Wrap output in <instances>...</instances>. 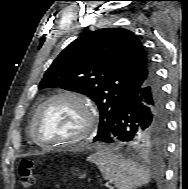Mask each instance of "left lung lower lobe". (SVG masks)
<instances>
[{"mask_svg": "<svg viewBox=\"0 0 188 189\" xmlns=\"http://www.w3.org/2000/svg\"><path fill=\"white\" fill-rule=\"evenodd\" d=\"M166 110L160 82L155 74L137 86L119 112L113 126L94 141L132 146L145 131L163 133Z\"/></svg>", "mask_w": 188, "mask_h": 189, "instance_id": "obj_1", "label": "left lung lower lobe"}]
</instances>
